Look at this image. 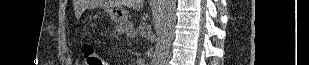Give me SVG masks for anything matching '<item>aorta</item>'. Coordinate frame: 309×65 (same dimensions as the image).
I'll use <instances>...</instances> for the list:
<instances>
[{
    "label": "aorta",
    "instance_id": "obj_1",
    "mask_svg": "<svg viewBox=\"0 0 309 65\" xmlns=\"http://www.w3.org/2000/svg\"><path fill=\"white\" fill-rule=\"evenodd\" d=\"M176 24V0H161L156 19L158 41L151 65H164L169 54Z\"/></svg>",
    "mask_w": 309,
    "mask_h": 65
}]
</instances>
